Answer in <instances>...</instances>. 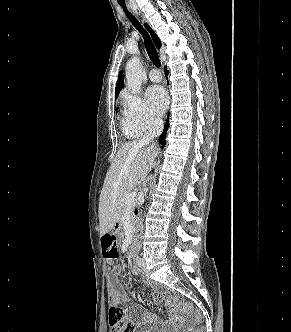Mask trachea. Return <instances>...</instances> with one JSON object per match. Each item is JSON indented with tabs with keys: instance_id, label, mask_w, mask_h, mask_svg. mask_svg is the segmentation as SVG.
Returning a JSON list of instances; mask_svg holds the SVG:
<instances>
[{
	"instance_id": "obj_1",
	"label": "trachea",
	"mask_w": 291,
	"mask_h": 332,
	"mask_svg": "<svg viewBox=\"0 0 291 332\" xmlns=\"http://www.w3.org/2000/svg\"><path fill=\"white\" fill-rule=\"evenodd\" d=\"M120 5L124 9L127 17L132 22V24L142 34V36L144 38V43H145L146 51L148 53L149 58L151 59V61L153 62V64L155 66L159 67L161 65V62H160V59H159V55H158V53L156 51V48H155V46H154L151 38L149 37L148 33L143 29V27L141 26V24L139 23V21L133 15H131L128 12L125 3L124 2L123 3L120 2Z\"/></svg>"
}]
</instances>
